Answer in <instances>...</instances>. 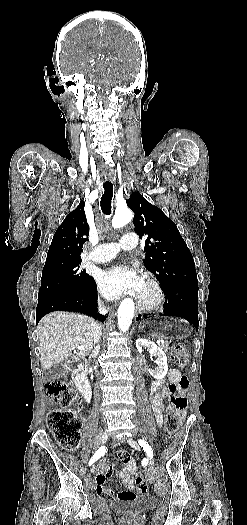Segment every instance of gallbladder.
Wrapping results in <instances>:
<instances>
[{
	"mask_svg": "<svg viewBox=\"0 0 247 525\" xmlns=\"http://www.w3.org/2000/svg\"><path fill=\"white\" fill-rule=\"evenodd\" d=\"M62 365L56 363L55 365L45 366L42 369L43 374L47 375L49 380L57 379L58 375H61V372H65V369H61Z\"/></svg>",
	"mask_w": 247,
	"mask_h": 525,
	"instance_id": "1",
	"label": "gallbladder"
}]
</instances>
